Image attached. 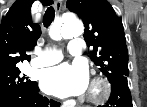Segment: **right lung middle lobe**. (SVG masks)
Here are the masks:
<instances>
[{
	"instance_id": "right-lung-middle-lobe-1",
	"label": "right lung middle lobe",
	"mask_w": 147,
	"mask_h": 107,
	"mask_svg": "<svg viewBox=\"0 0 147 107\" xmlns=\"http://www.w3.org/2000/svg\"><path fill=\"white\" fill-rule=\"evenodd\" d=\"M37 82L22 75L18 65L0 71V100L22 91L34 89Z\"/></svg>"
}]
</instances>
